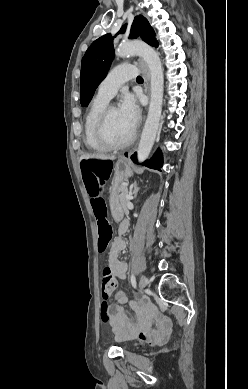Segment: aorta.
Returning a JSON list of instances; mask_svg holds the SVG:
<instances>
[{
    "mask_svg": "<svg viewBox=\"0 0 248 389\" xmlns=\"http://www.w3.org/2000/svg\"><path fill=\"white\" fill-rule=\"evenodd\" d=\"M134 54L143 58L150 72L151 94L149 110L137 150L138 161L143 162L151 152L160 123L164 76L159 55L149 45L142 42H126L121 44L116 50V55L121 57Z\"/></svg>",
    "mask_w": 248,
    "mask_h": 389,
    "instance_id": "obj_1",
    "label": "aorta"
}]
</instances>
